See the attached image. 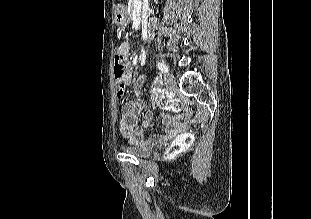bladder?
I'll list each match as a JSON object with an SVG mask.
<instances>
[{
	"instance_id": "31cf9c89",
	"label": "bladder",
	"mask_w": 311,
	"mask_h": 219,
	"mask_svg": "<svg viewBox=\"0 0 311 219\" xmlns=\"http://www.w3.org/2000/svg\"><path fill=\"white\" fill-rule=\"evenodd\" d=\"M153 149L154 146L152 145H140V144L122 147L124 153L138 158H144L149 156L152 153Z\"/></svg>"
}]
</instances>
